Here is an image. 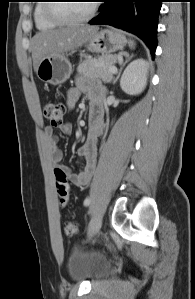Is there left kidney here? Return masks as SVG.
I'll return each instance as SVG.
<instances>
[{
	"instance_id": "left-kidney-1",
	"label": "left kidney",
	"mask_w": 195,
	"mask_h": 299,
	"mask_svg": "<svg viewBox=\"0 0 195 299\" xmlns=\"http://www.w3.org/2000/svg\"><path fill=\"white\" fill-rule=\"evenodd\" d=\"M148 63L144 59L132 61L124 70L121 80V89L130 95L140 94L147 84Z\"/></svg>"
}]
</instances>
